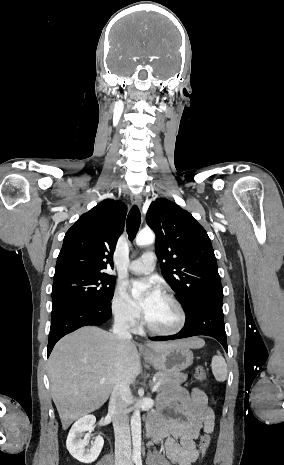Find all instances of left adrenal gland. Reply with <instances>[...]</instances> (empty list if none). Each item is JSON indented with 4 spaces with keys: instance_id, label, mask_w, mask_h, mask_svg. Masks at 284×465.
Returning a JSON list of instances; mask_svg holds the SVG:
<instances>
[{
    "instance_id": "left-adrenal-gland-1",
    "label": "left adrenal gland",
    "mask_w": 284,
    "mask_h": 465,
    "mask_svg": "<svg viewBox=\"0 0 284 465\" xmlns=\"http://www.w3.org/2000/svg\"><path fill=\"white\" fill-rule=\"evenodd\" d=\"M151 387H153V383H151Z\"/></svg>"
}]
</instances>
